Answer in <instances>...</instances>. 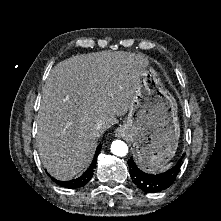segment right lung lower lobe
<instances>
[{"instance_id": "right-lung-lower-lobe-1", "label": "right lung lower lobe", "mask_w": 221, "mask_h": 221, "mask_svg": "<svg viewBox=\"0 0 221 221\" xmlns=\"http://www.w3.org/2000/svg\"><path fill=\"white\" fill-rule=\"evenodd\" d=\"M100 149H101V145L97 147L96 152H95V157L90 167L82 176H80L79 178L70 180V181H65V182L57 181L56 179H53V181H55L57 184L65 188H80V187L85 186L90 181L91 177L93 176L94 168L96 167L97 156L100 152Z\"/></svg>"}]
</instances>
